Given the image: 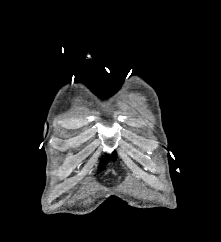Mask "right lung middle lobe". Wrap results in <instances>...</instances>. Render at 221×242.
<instances>
[{"label":"right lung middle lobe","mask_w":221,"mask_h":242,"mask_svg":"<svg viewBox=\"0 0 221 242\" xmlns=\"http://www.w3.org/2000/svg\"><path fill=\"white\" fill-rule=\"evenodd\" d=\"M115 157H116V154L113 153L112 157H110V158H104L103 161H102V165H105L106 162H107V160H109V159H115Z\"/></svg>","instance_id":"right-lung-middle-lobe-1"}]
</instances>
